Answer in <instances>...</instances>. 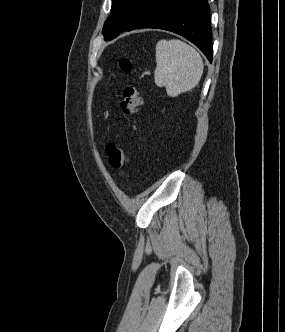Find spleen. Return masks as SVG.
Here are the masks:
<instances>
[{"mask_svg":"<svg viewBox=\"0 0 285 332\" xmlns=\"http://www.w3.org/2000/svg\"><path fill=\"white\" fill-rule=\"evenodd\" d=\"M156 64L155 84L165 87L170 97L195 88L204 68L200 54L178 39H163L157 42Z\"/></svg>","mask_w":285,"mask_h":332,"instance_id":"spleen-1","label":"spleen"}]
</instances>
